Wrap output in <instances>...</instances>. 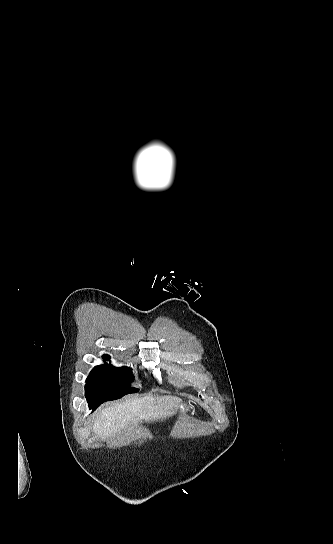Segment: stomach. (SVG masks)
<instances>
[{
    "label": "stomach",
    "mask_w": 333,
    "mask_h": 544,
    "mask_svg": "<svg viewBox=\"0 0 333 544\" xmlns=\"http://www.w3.org/2000/svg\"><path fill=\"white\" fill-rule=\"evenodd\" d=\"M178 409H179L180 412H183L185 409H187V404L179 403Z\"/></svg>",
    "instance_id": "stomach-1"
}]
</instances>
